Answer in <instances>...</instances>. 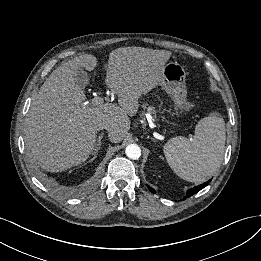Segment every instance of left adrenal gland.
I'll return each instance as SVG.
<instances>
[{
  "mask_svg": "<svg viewBox=\"0 0 261 261\" xmlns=\"http://www.w3.org/2000/svg\"><path fill=\"white\" fill-rule=\"evenodd\" d=\"M153 142H156V140L154 138H151Z\"/></svg>",
  "mask_w": 261,
  "mask_h": 261,
  "instance_id": "obj_1",
  "label": "left adrenal gland"
}]
</instances>
